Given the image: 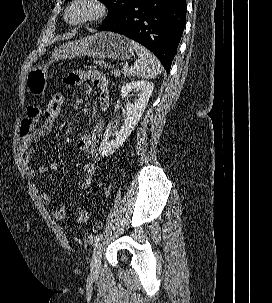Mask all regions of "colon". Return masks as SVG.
<instances>
[{
  "instance_id": "obj_1",
  "label": "colon",
  "mask_w": 272,
  "mask_h": 303,
  "mask_svg": "<svg viewBox=\"0 0 272 303\" xmlns=\"http://www.w3.org/2000/svg\"><path fill=\"white\" fill-rule=\"evenodd\" d=\"M96 64L100 70L108 72L114 77L118 78L122 76V70L106 59H98ZM63 100L64 98L61 92L57 91L51 95L41 122L39 123L42 130L52 133L57 128L63 108ZM88 216L89 214L86 210H80L77 214V221L85 222L88 219Z\"/></svg>"
}]
</instances>
